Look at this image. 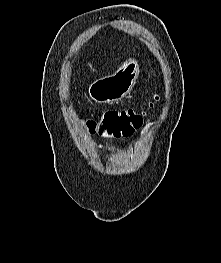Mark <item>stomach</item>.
Returning <instances> with one entry per match:
<instances>
[{"label": "stomach", "instance_id": "obj_1", "mask_svg": "<svg viewBox=\"0 0 221 263\" xmlns=\"http://www.w3.org/2000/svg\"><path fill=\"white\" fill-rule=\"evenodd\" d=\"M138 75V62L129 58L114 74L93 81L88 87V94L97 103L121 100L130 93Z\"/></svg>", "mask_w": 221, "mask_h": 263}]
</instances>
